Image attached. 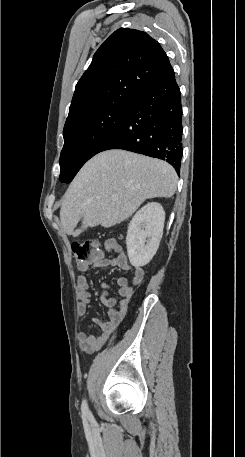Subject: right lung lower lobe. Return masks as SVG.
<instances>
[{
	"instance_id": "right-lung-lower-lobe-1",
	"label": "right lung lower lobe",
	"mask_w": 245,
	"mask_h": 457,
	"mask_svg": "<svg viewBox=\"0 0 245 457\" xmlns=\"http://www.w3.org/2000/svg\"><path fill=\"white\" fill-rule=\"evenodd\" d=\"M182 132L181 97L174 74L151 84L133 100L101 151L124 149L166 160L179 174Z\"/></svg>"
}]
</instances>
